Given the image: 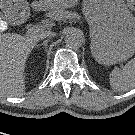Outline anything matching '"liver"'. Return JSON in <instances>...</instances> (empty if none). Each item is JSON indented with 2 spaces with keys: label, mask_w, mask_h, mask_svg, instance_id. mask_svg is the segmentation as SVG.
<instances>
[{
  "label": "liver",
  "mask_w": 135,
  "mask_h": 135,
  "mask_svg": "<svg viewBox=\"0 0 135 135\" xmlns=\"http://www.w3.org/2000/svg\"><path fill=\"white\" fill-rule=\"evenodd\" d=\"M6 22L0 21V31ZM41 32L21 36L0 32V96L18 97L25 91V64Z\"/></svg>",
  "instance_id": "1"
}]
</instances>
